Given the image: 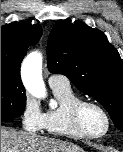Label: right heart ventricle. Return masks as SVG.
<instances>
[{"label":"right heart ventricle","instance_id":"obj_1","mask_svg":"<svg viewBox=\"0 0 123 152\" xmlns=\"http://www.w3.org/2000/svg\"><path fill=\"white\" fill-rule=\"evenodd\" d=\"M58 101L55 108L44 113L43 129L51 136L64 137L70 139L84 138L74 127L71 119V107L80 100L71 87L52 88Z\"/></svg>","mask_w":123,"mask_h":152}]
</instances>
